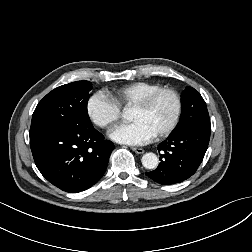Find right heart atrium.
I'll return each mask as SVG.
<instances>
[{
    "instance_id": "1",
    "label": "right heart atrium",
    "mask_w": 252,
    "mask_h": 252,
    "mask_svg": "<svg viewBox=\"0 0 252 252\" xmlns=\"http://www.w3.org/2000/svg\"><path fill=\"white\" fill-rule=\"evenodd\" d=\"M86 112L92 123L106 129L118 121L121 107L105 93L96 92L89 97Z\"/></svg>"
}]
</instances>
